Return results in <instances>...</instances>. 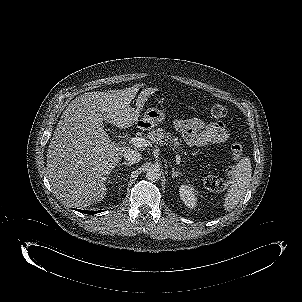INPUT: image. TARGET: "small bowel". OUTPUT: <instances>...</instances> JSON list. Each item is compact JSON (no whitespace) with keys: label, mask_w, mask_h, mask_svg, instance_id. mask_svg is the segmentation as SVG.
<instances>
[{"label":"small bowel","mask_w":302,"mask_h":302,"mask_svg":"<svg viewBox=\"0 0 302 302\" xmlns=\"http://www.w3.org/2000/svg\"><path fill=\"white\" fill-rule=\"evenodd\" d=\"M174 127L190 146L205 147L223 144L229 138V131L221 121L205 123L198 118L178 119Z\"/></svg>","instance_id":"c3829d8e"}]
</instances>
